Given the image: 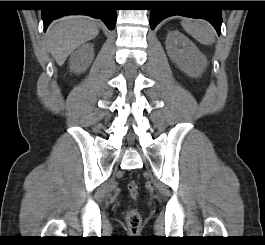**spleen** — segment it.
Listing matches in <instances>:
<instances>
[{"label":"spleen","instance_id":"1","mask_svg":"<svg viewBox=\"0 0 265 245\" xmlns=\"http://www.w3.org/2000/svg\"><path fill=\"white\" fill-rule=\"evenodd\" d=\"M181 25L188 34L200 43L208 45L215 42L214 30L206 21L184 19Z\"/></svg>","mask_w":265,"mask_h":245}]
</instances>
